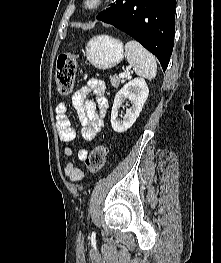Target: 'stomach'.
Here are the masks:
<instances>
[{
    "instance_id": "stomach-1",
    "label": "stomach",
    "mask_w": 221,
    "mask_h": 263,
    "mask_svg": "<svg viewBox=\"0 0 221 263\" xmlns=\"http://www.w3.org/2000/svg\"><path fill=\"white\" fill-rule=\"evenodd\" d=\"M85 54L94 67L108 69L123 60V44L108 35H98L87 43Z\"/></svg>"
}]
</instances>
